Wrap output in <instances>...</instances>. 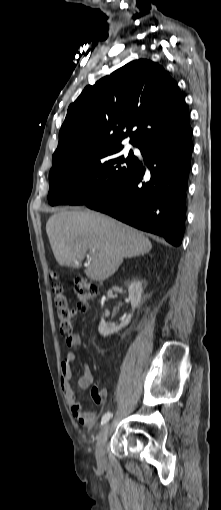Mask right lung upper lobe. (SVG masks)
Instances as JSON below:
<instances>
[{"mask_svg":"<svg viewBox=\"0 0 221 510\" xmlns=\"http://www.w3.org/2000/svg\"><path fill=\"white\" fill-rule=\"evenodd\" d=\"M188 126L185 98L177 83L159 64L135 60L86 86L69 106L53 166L73 153L122 146L128 136L140 148Z\"/></svg>","mask_w":221,"mask_h":510,"instance_id":"right-lung-upper-lobe-1","label":"right lung upper lobe"}]
</instances>
